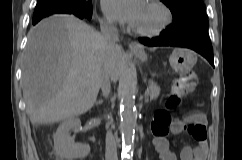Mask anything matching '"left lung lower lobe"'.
Instances as JSON below:
<instances>
[{
	"label": "left lung lower lobe",
	"instance_id": "1",
	"mask_svg": "<svg viewBox=\"0 0 242 160\" xmlns=\"http://www.w3.org/2000/svg\"><path fill=\"white\" fill-rule=\"evenodd\" d=\"M139 41L148 46H174L195 50L204 56L214 67L213 50L207 28L195 27L180 34L171 35L163 31L160 36L151 39L139 38Z\"/></svg>",
	"mask_w": 242,
	"mask_h": 160
}]
</instances>
